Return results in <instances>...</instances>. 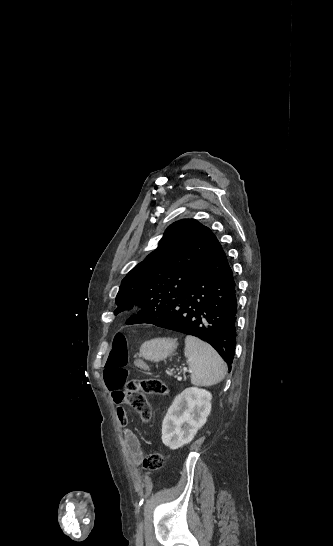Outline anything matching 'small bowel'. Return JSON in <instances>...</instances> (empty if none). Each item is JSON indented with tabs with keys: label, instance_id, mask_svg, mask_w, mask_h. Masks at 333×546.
I'll list each match as a JSON object with an SVG mask.
<instances>
[{
	"label": "small bowel",
	"instance_id": "obj_1",
	"mask_svg": "<svg viewBox=\"0 0 333 546\" xmlns=\"http://www.w3.org/2000/svg\"><path fill=\"white\" fill-rule=\"evenodd\" d=\"M133 368L135 372L144 374L148 369V364L144 358H135ZM111 397L113 402L116 405H118L117 416L120 420L119 426L120 427L129 426L130 423L129 421H127L128 418L126 417L127 416L126 410L122 407V405L124 404L122 400V390L111 391ZM124 442L129 454L130 461L134 465L140 464L143 458V452H142L141 445L137 436L131 430L126 429L124 431Z\"/></svg>",
	"mask_w": 333,
	"mask_h": 546
}]
</instances>
